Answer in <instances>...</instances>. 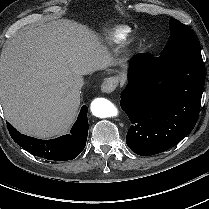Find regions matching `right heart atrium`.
Listing matches in <instances>:
<instances>
[{"label": "right heart atrium", "mask_w": 209, "mask_h": 209, "mask_svg": "<svg viewBox=\"0 0 209 209\" xmlns=\"http://www.w3.org/2000/svg\"><path fill=\"white\" fill-rule=\"evenodd\" d=\"M78 79V73L74 70H70L68 73V80L74 82Z\"/></svg>", "instance_id": "d8ad5b80"}]
</instances>
